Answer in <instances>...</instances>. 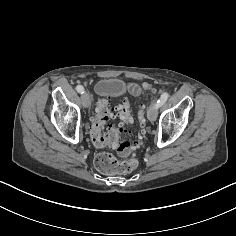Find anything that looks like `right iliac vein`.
<instances>
[{
  "mask_svg": "<svg viewBox=\"0 0 236 236\" xmlns=\"http://www.w3.org/2000/svg\"><path fill=\"white\" fill-rule=\"evenodd\" d=\"M81 103H82L83 107H85V108L89 107V105H90V98L86 92L82 93V95H81Z\"/></svg>",
  "mask_w": 236,
  "mask_h": 236,
  "instance_id": "right-iliac-vein-1",
  "label": "right iliac vein"
}]
</instances>
